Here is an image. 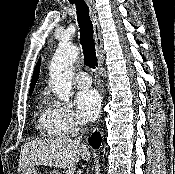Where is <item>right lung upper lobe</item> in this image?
I'll list each match as a JSON object with an SVG mask.
<instances>
[{"mask_svg": "<svg viewBox=\"0 0 175 174\" xmlns=\"http://www.w3.org/2000/svg\"><path fill=\"white\" fill-rule=\"evenodd\" d=\"M40 62L41 60L38 61L35 69H34V73H33V77H32V81H31V86H30V93H32L34 87H35V84L37 82V79H38V74H39V68H40Z\"/></svg>", "mask_w": 175, "mask_h": 174, "instance_id": "right-lung-upper-lobe-1", "label": "right lung upper lobe"}]
</instances>
